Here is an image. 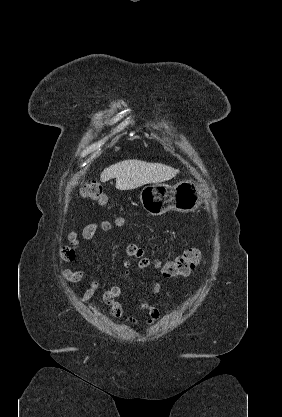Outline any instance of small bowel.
<instances>
[{
    "label": "small bowel",
    "instance_id": "small-bowel-1",
    "mask_svg": "<svg viewBox=\"0 0 282 417\" xmlns=\"http://www.w3.org/2000/svg\"><path fill=\"white\" fill-rule=\"evenodd\" d=\"M113 229V224L110 221H96L87 224L82 230V237L90 242H95L96 235L98 232H109ZM69 243L74 247L78 248L79 246V237L76 231H70L67 235ZM131 259L138 260V269L146 270L149 268H159L160 263L149 257L143 255V250L136 246H128L126 253L120 257V261L123 267V270L120 274V280H126L130 276L131 268ZM59 274L65 280L71 283H78L82 281L85 277L84 270H72L69 268H63L59 271ZM99 287V282L93 280L90 283V286L82 293L76 295V298L81 302L89 301L96 293ZM161 283L155 281L152 287L153 294L157 295L161 292ZM121 295V288L119 285H113L110 287L103 295V300L105 304L110 308L111 313L115 317H120L123 314V306L119 300ZM140 308L147 312L148 319L145 322L146 326H152L161 316L160 310L148 303H141ZM128 320L132 324H138V320L134 317H129Z\"/></svg>",
    "mask_w": 282,
    "mask_h": 417
}]
</instances>
